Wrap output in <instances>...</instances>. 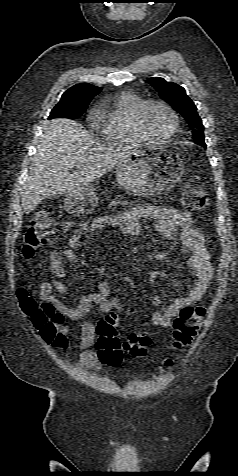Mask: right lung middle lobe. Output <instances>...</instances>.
Wrapping results in <instances>:
<instances>
[{
  "mask_svg": "<svg viewBox=\"0 0 238 476\" xmlns=\"http://www.w3.org/2000/svg\"><path fill=\"white\" fill-rule=\"evenodd\" d=\"M87 106V104H79L68 100H60L59 103L52 109L49 119L57 117L75 119L86 111Z\"/></svg>",
  "mask_w": 238,
  "mask_h": 476,
  "instance_id": "right-lung-middle-lobe-1",
  "label": "right lung middle lobe"
}]
</instances>
